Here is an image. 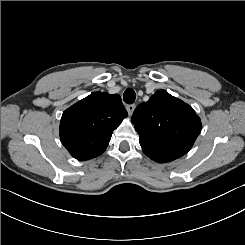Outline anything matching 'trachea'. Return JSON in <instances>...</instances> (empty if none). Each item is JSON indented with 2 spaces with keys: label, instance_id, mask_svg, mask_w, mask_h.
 <instances>
[{
  "label": "trachea",
  "instance_id": "3493384b",
  "mask_svg": "<svg viewBox=\"0 0 245 245\" xmlns=\"http://www.w3.org/2000/svg\"><path fill=\"white\" fill-rule=\"evenodd\" d=\"M136 93L132 89H127L124 92L123 99L125 103L132 104L135 101Z\"/></svg>",
  "mask_w": 245,
  "mask_h": 245
}]
</instances>
